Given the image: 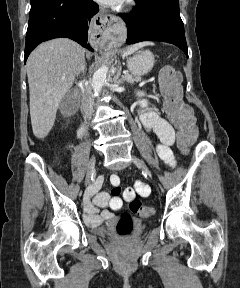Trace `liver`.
<instances>
[{"instance_id":"obj_1","label":"liver","mask_w":240,"mask_h":288,"mask_svg":"<svg viewBox=\"0 0 240 288\" xmlns=\"http://www.w3.org/2000/svg\"><path fill=\"white\" fill-rule=\"evenodd\" d=\"M84 55L85 49L67 38L44 42L30 54L26 66L35 137L43 139L51 131L59 104L72 87Z\"/></svg>"}]
</instances>
